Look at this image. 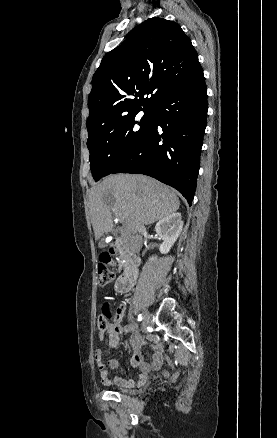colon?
I'll use <instances>...</instances> for the list:
<instances>
[{"instance_id": "colon-1", "label": "colon", "mask_w": 277, "mask_h": 438, "mask_svg": "<svg viewBox=\"0 0 277 438\" xmlns=\"http://www.w3.org/2000/svg\"><path fill=\"white\" fill-rule=\"evenodd\" d=\"M116 254L117 251L113 248H110L100 255V262L96 266V281L98 285L107 286L114 282L115 274L111 268V265L114 263ZM107 306L109 305L107 304ZM114 312L117 314V317L114 320H119V310L116 309ZM105 317H108V314H106ZM96 325L100 327V332L102 334H111L113 332V327L111 326V321L109 319H100Z\"/></svg>"}]
</instances>
